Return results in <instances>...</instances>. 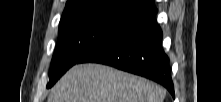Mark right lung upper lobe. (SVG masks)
<instances>
[{
    "mask_svg": "<svg viewBox=\"0 0 221 102\" xmlns=\"http://www.w3.org/2000/svg\"><path fill=\"white\" fill-rule=\"evenodd\" d=\"M91 1H96V0H68L64 12L71 11ZM114 1H119L123 5L136 8L141 12L148 10L154 5L153 0H114Z\"/></svg>",
    "mask_w": 221,
    "mask_h": 102,
    "instance_id": "cb5924a9",
    "label": "right lung upper lobe"
}]
</instances>
